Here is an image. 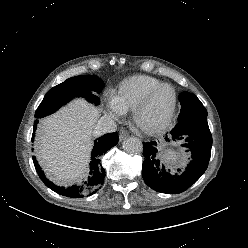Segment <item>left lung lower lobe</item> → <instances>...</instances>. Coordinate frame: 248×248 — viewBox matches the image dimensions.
I'll return each mask as SVG.
<instances>
[{
  "mask_svg": "<svg viewBox=\"0 0 248 248\" xmlns=\"http://www.w3.org/2000/svg\"><path fill=\"white\" fill-rule=\"evenodd\" d=\"M166 141H170L168 137ZM171 139L182 140V146L192 152V161L180 175H173L166 171L158 160L156 142H144L143 153L145 159L142 165V176L145 183L153 190L177 194L187 190L205 172L211 156L212 136L207 123V116L194 119H178V124L171 131Z\"/></svg>",
  "mask_w": 248,
  "mask_h": 248,
  "instance_id": "obj_1",
  "label": "left lung lower lobe"
}]
</instances>
